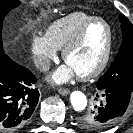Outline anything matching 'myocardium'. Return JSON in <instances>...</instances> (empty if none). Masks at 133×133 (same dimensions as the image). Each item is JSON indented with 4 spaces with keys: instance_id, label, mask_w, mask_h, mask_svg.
<instances>
[{
    "instance_id": "f54148a6",
    "label": "myocardium",
    "mask_w": 133,
    "mask_h": 133,
    "mask_svg": "<svg viewBox=\"0 0 133 133\" xmlns=\"http://www.w3.org/2000/svg\"><path fill=\"white\" fill-rule=\"evenodd\" d=\"M101 22L107 27L108 31V39H107V45L104 52V55L99 62V64L90 72L82 75H77V78L81 81H88L93 78H96L99 76L107 67L111 53L113 48V41H114V32L111 24L102 17H93L89 19L87 22H85L81 28L77 31V33L73 36V38L65 45V47L62 49V58L65 62H67V58L69 54L81 43L85 33L89 29V27L96 23Z\"/></svg>"
}]
</instances>
